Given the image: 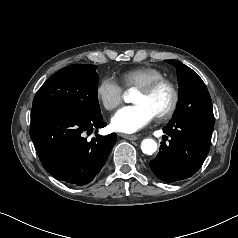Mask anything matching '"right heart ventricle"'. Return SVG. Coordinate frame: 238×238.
Listing matches in <instances>:
<instances>
[{
  "mask_svg": "<svg viewBox=\"0 0 238 238\" xmlns=\"http://www.w3.org/2000/svg\"><path fill=\"white\" fill-rule=\"evenodd\" d=\"M163 77L164 74L159 69L142 66L122 73L121 81L126 88H140L153 80Z\"/></svg>",
  "mask_w": 238,
  "mask_h": 238,
  "instance_id": "1",
  "label": "right heart ventricle"
}]
</instances>
